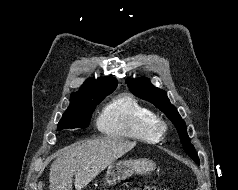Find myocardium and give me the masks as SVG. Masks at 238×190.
<instances>
[{
	"mask_svg": "<svg viewBox=\"0 0 238 190\" xmlns=\"http://www.w3.org/2000/svg\"><path fill=\"white\" fill-rule=\"evenodd\" d=\"M154 127H155L157 133H163L167 129V124L163 119H161L159 117H155Z\"/></svg>",
	"mask_w": 238,
	"mask_h": 190,
	"instance_id": "myocardium-1",
	"label": "myocardium"
}]
</instances>
